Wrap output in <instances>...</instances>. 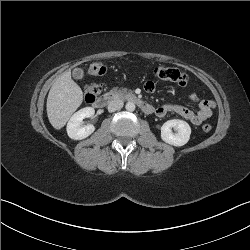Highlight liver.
<instances>
[{
	"label": "liver",
	"mask_w": 250,
	"mask_h": 250,
	"mask_svg": "<svg viewBox=\"0 0 250 250\" xmlns=\"http://www.w3.org/2000/svg\"><path fill=\"white\" fill-rule=\"evenodd\" d=\"M83 92L71 78L69 70L63 72L52 85L47 98V116L51 125L59 130L82 104Z\"/></svg>",
	"instance_id": "1"
}]
</instances>
